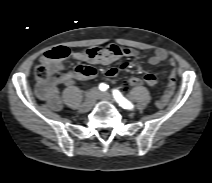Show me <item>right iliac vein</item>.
Listing matches in <instances>:
<instances>
[{
	"instance_id": "right-iliac-vein-1",
	"label": "right iliac vein",
	"mask_w": 212,
	"mask_h": 183,
	"mask_svg": "<svg viewBox=\"0 0 212 183\" xmlns=\"http://www.w3.org/2000/svg\"><path fill=\"white\" fill-rule=\"evenodd\" d=\"M98 97H99V91L97 89H91L87 93L84 102L81 104L80 111H82V112L89 111L95 104Z\"/></svg>"
}]
</instances>
